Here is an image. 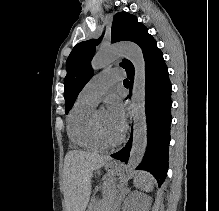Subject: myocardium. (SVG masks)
Returning <instances> with one entry per match:
<instances>
[{
    "label": "myocardium",
    "mask_w": 219,
    "mask_h": 211,
    "mask_svg": "<svg viewBox=\"0 0 219 211\" xmlns=\"http://www.w3.org/2000/svg\"><path fill=\"white\" fill-rule=\"evenodd\" d=\"M97 111L94 110L92 113V117H91V121H92V126L93 129L96 133V135L106 144L108 145H116L118 143H120L123 138H124V133L123 132H119L118 134L111 136L109 134H107L106 132L103 131V129L101 128V126L98 123L97 120Z\"/></svg>",
    "instance_id": "1"
}]
</instances>
